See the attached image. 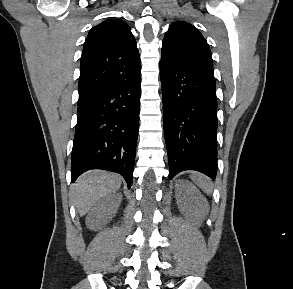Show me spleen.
<instances>
[{
  "instance_id": "spleen-1",
  "label": "spleen",
  "mask_w": 293,
  "mask_h": 289,
  "mask_svg": "<svg viewBox=\"0 0 293 289\" xmlns=\"http://www.w3.org/2000/svg\"><path fill=\"white\" fill-rule=\"evenodd\" d=\"M191 180L206 194L212 193V183L206 176L199 173H193L191 175Z\"/></svg>"
}]
</instances>
